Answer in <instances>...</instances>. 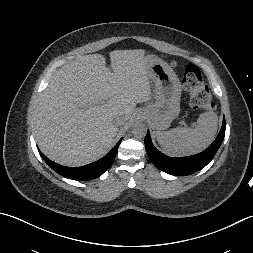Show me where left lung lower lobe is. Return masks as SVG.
<instances>
[{
	"mask_svg": "<svg viewBox=\"0 0 253 253\" xmlns=\"http://www.w3.org/2000/svg\"><path fill=\"white\" fill-rule=\"evenodd\" d=\"M225 129L226 122L224 118L215 141L206 150L193 156L173 158L162 154L153 146L149 131L145 137V148L151 161L160 170L176 176L190 175L204 168L213 159L224 139Z\"/></svg>",
	"mask_w": 253,
	"mask_h": 253,
	"instance_id": "obj_1",
	"label": "left lung lower lobe"
}]
</instances>
